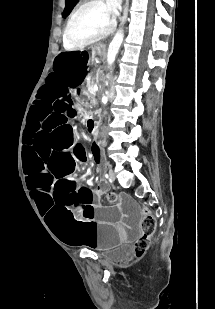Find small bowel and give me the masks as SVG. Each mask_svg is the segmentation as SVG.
Returning a JSON list of instances; mask_svg holds the SVG:
<instances>
[{
  "label": "small bowel",
  "mask_w": 215,
  "mask_h": 309,
  "mask_svg": "<svg viewBox=\"0 0 215 309\" xmlns=\"http://www.w3.org/2000/svg\"><path fill=\"white\" fill-rule=\"evenodd\" d=\"M94 146H96V144ZM105 190H106L105 185L99 186V187L95 188L94 190H92L93 196H94L96 201H99L101 195L104 193Z\"/></svg>",
  "instance_id": "1"
}]
</instances>
